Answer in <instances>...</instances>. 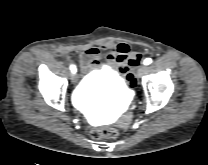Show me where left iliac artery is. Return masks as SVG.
I'll use <instances>...</instances> for the list:
<instances>
[{
    "label": "left iliac artery",
    "instance_id": "44dca946",
    "mask_svg": "<svg viewBox=\"0 0 208 165\" xmlns=\"http://www.w3.org/2000/svg\"><path fill=\"white\" fill-rule=\"evenodd\" d=\"M150 63H152V59L151 58H146L144 60V65H149Z\"/></svg>",
    "mask_w": 208,
    "mask_h": 165
}]
</instances>
